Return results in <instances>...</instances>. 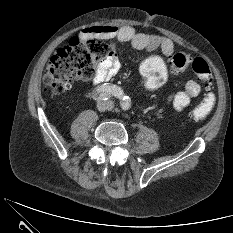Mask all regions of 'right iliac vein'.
I'll return each mask as SVG.
<instances>
[{
  "label": "right iliac vein",
  "mask_w": 233,
  "mask_h": 233,
  "mask_svg": "<svg viewBox=\"0 0 233 233\" xmlns=\"http://www.w3.org/2000/svg\"><path fill=\"white\" fill-rule=\"evenodd\" d=\"M97 109L100 112H105L106 110L109 109V102L99 101L97 104Z\"/></svg>",
  "instance_id": "obj_1"
}]
</instances>
